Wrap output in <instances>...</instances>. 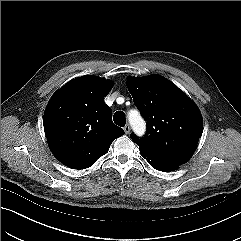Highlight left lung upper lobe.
Wrapping results in <instances>:
<instances>
[{"mask_svg":"<svg viewBox=\"0 0 241 241\" xmlns=\"http://www.w3.org/2000/svg\"><path fill=\"white\" fill-rule=\"evenodd\" d=\"M127 86L147 123L146 136L132 134V140L140 150L161 160L186 163L202 135V117L195 103L159 75L130 77Z\"/></svg>","mask_w":241,"mask_h":241,"instance_id":"left-lung-upper-lobe-1","label":"left lung upper lobe"}]
</instances>
